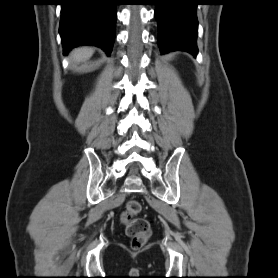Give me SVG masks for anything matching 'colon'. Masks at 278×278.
<instances>
[{
    "mask_svg": "<svg viewBox=\"0 0 278 278\" xmlns=\"http://www.w3.org/2000/svg\"><path fill=\"white\" fill-rule=\"evenodd\" d=\"M140 211L141 204L137 200H129L121 217L134 247L143 245L150 235L149 222L144 218L138 217Z\"/></svg>",
    "mask_w": 278,
    "mask_h": 278,
    "instance_id": "colon-1",
    "label": "colon"
}]
</instances>
